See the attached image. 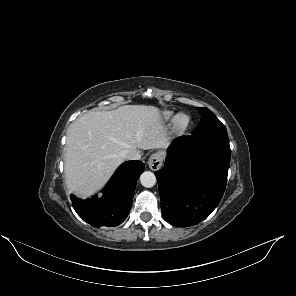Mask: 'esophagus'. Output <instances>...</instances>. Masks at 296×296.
I'll list each match as a JSON object with an SVG mask.
<instances>
[{
    "label": "esophagus",
    "instance_id": "1",
    "mask_svg": "<svg viewBox=\"0 0 296 296\" xmlns=\"http://www.w3.org/2000/svg\"><path fill=\"white\" fill-rule=\"evenodd\" d=\"M163 163V156L161 153L157 152L151 155L148 160V166L152 171L158 170Z\"/></svg>",
    "mask_w": 296,
    "mask_h": 296
}]
</instances>
